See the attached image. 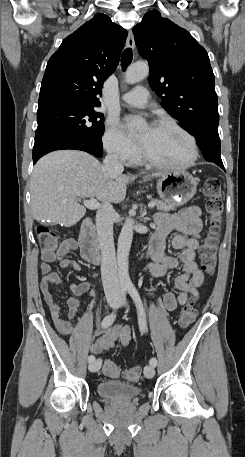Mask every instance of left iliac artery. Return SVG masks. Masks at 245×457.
Listing matches in <instances>:
<instances>
[{
    "label": "left iliac artery",
    "instance_id": "1",
    "mask_svg": "<svg viewBox=\"0 0 245 457\" xmlns=\"http://www.w3.org/2000/svg\"><path fill=\"white\" fill-rule=\"evenodd\" d=\"M126 289L136 305L137 313H138L139 328H140L141 333H144L147 329V321H146L145 309H144L142 300L140 298V295L134 285H128L126 287ZM150 365L153 367H156L157 359L155 357L150 359Z\"/></svg>",
    "mask_w": 245,
    "mask_h": 457
}]
</instances>
